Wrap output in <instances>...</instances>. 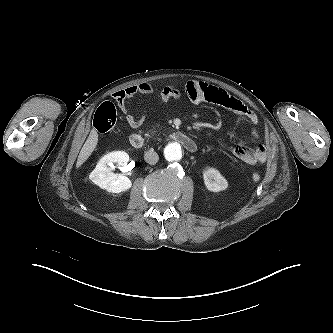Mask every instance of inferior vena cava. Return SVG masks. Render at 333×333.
<instances>
[{"instance_id": "1", "label": "inferior vena cava", "mask_w": 333, "mask_h": 333, "mask_svg": "<svg viewBox=\"0 0 333 333\" xmlns=\"http://www.w3.org/2000/svg\"><path fill=\"white\" fill-rule=\"evenodd\" d=\"M144 160L147 163H149L151 165H154V164H156L158 162L159 156H158V154L153 149H151V150L145 152V154H144Z\"/></svg>"}]
</instances>
